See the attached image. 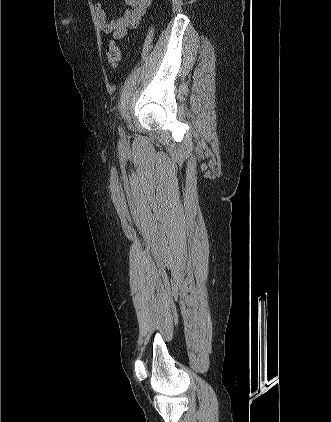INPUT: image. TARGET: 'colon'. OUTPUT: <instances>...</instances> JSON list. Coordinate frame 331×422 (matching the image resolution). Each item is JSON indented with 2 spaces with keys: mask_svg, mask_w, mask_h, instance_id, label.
I'll return each instance as SVG.
<instances>
[{
  "mask_svg": "<svg viewBox=\"0 0 331 422\" xmlns=\"http://www.w3.org/2000/svg\"><path fill=\"white\" fill-rule=\"evenodd\" d=\"M106 59L112 67H117L121 61L120 46L113 40L106 46Z\"/></svg>",
  "mask_w": 331,
  "mask_h": 422,
  "instance_id": "obj_1",
  "label": "colon"
}]
</instances>
